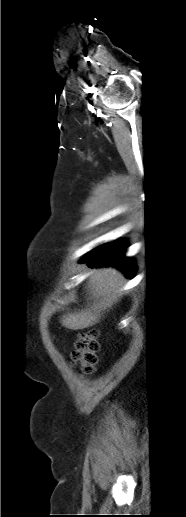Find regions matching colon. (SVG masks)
<instances>
[{"instance_id":"5ec220e1","label":"colon","mask_w":186,"mask_h":517,"mask_svg":"<svg viewBox=\"0 0 186 517\" xmlns=\"http://www.w3.org/2000/svg\"><path fill=\"white\" fill-rule=\"evenodd\" d=\"M99 350L98 331L95 329L78 335L75 349L72 352V361L78 365L84 373L94 371L97 364V352Z\"/></svg>"}]
</instances>
